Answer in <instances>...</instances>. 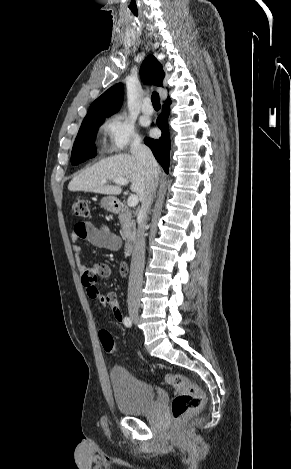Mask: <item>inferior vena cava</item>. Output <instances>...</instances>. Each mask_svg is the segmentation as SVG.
<instances>
[{"mask_svg": "<svg viewBox=\"0 0 291 469\" xmlns=\"http://www.w3.org/2000/svg\"><path fill=\"white\" fill-rule=\"evenodd\" d=\"M131 154L142 163L146 169V175L152 184L146 193L142 206L139 212L141 217L138 223L136 239L134 242V250L132 254L130 275L128 282V306H139L142 281H143V270L145 264V227L147 223V212L149 211L151 204L155 197V191L157 187L158 179V164L151 152V150L144 144L141 143L140 138H136L131 146ZM156 179L155 181L153 179Z\"/></svg>", "mask_w": 291, "mask_h": 469, "instance_id": "1", "label": "inferior vena cava"}]
</instances>
